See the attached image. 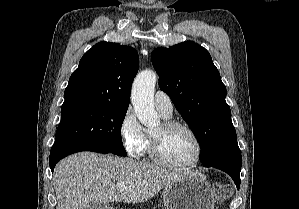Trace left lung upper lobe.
Returning a JSON list of instances; mask_svg holds the SVG:
<instances>
[{"instance_id":"5c2ea615","label":"left lung upper lobe","mask_w":299,"mask_h":209,"mask_svg":"<svg viewBox=\"0 0 299 209\" xmlns=\"http://www.w3.org/2000/svg\"><path fill=\"white\" fill-rule=\"evenodd\" d=\"M160 89L166 92L199 142L200 160L214 152L228 137L236 135L226 87L209 52L185 41L152 52Z\"/></svg>"}]
</instances>
